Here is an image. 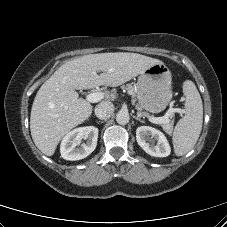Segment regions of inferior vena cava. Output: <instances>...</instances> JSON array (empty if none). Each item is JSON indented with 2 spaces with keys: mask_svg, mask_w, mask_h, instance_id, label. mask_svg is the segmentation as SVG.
<instances>
[{
  "mask_svg": "<svg viewBox=\"0 0 227 227\" xmlns=\"http://www.w3.org/2000/svg\"><path fill=\"white\" fill-rule=\"evenodd\" d=\"M114 113V105L111 102H103L96 106L95 115L102 120L109 119Z\"/></svg>",
  "mask_w": 227,
  "mask_h": 227,
  "instance_id": "602c4592",
  "label": "inferior vena cava"
}]
</instances>
